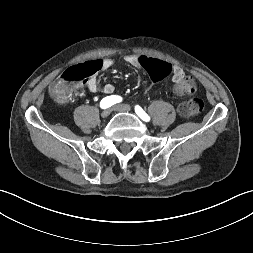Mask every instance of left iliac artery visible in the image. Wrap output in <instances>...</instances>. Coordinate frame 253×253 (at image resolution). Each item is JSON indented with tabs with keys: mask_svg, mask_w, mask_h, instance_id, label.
<instances>
[{
	"mask_svg": "<svg viewBox=\"0 0 253 253\" xmlns=\"http://www.w3.org/2000/svg\"><path fill=\"white\" fill-rule=\"evenodd\" d=\"M135 112L142 120L146 122L150 121V117L148 116V114L139 105L135 106Z\"/></svg>",
	"mask_w": 253,
	"mask_h": 253,
	"instance_id": "1",
	"label": "left iliac artery"
}]
</instances>
